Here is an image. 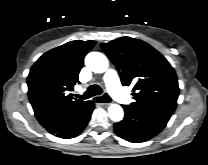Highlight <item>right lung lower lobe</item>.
Returning a JSON list of instances; mask_svg holds the SVG:
<instances>
[{"instance_id": "obj_1", "label": "right lung lower lobe", "mask_w": 208, "mask_h": 165, "mask_svg": "<svg viewBox=\"0 0 208 165\" xmlns=\"http://www.w3.org/2000/svg\"><path fill=\"white\" fill-rule=\"evenodd\" d=\"M93 109H94V103L92 102L89 105L86 112L76 122H74L71 126L52 134L61 137L63 139H70L77 137L82 133L87 123L89 122Z\"/></svg>"}]
</instances>
